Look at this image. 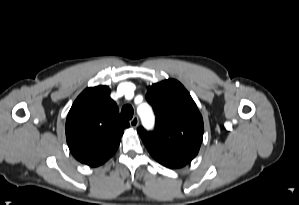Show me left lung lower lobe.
Listing matches in <instances>:
<instances>
[{
	"label": "left lung lower lobe",
	"instance_id": "left-lung-lower-lobe-1",
	"mask_svg": "<svg viewBox=\"0 0 299 205\" xmlns=\"http://www.w3.org/2000/svg\"><path fill=\"white\" fill-rule=\"evenodd\" d=\"M145 146L157 162L171 169L180 168L190 163L200 148V146L184 143L148 144Z\"/></svg>",
	"mask_w": 299,
	"mask_h": 205
}]
</instances>
